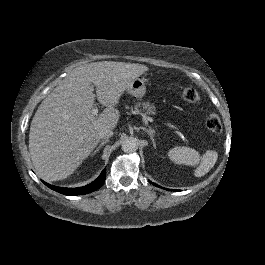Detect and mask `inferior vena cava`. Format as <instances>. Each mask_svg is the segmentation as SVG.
I'll return each mask as SVG.
<instances>
[{"instance_id": "602c4592", "label": "inferior vena cava", "mask_w": 265, "mask_h": 265, "mask_svg": "<svg viewBox=\"0 0 265 265\" xmlns=\"http://www.w3.org/2000/svg\"><path fill=\"white\" fill-rule=\"evenodd\" d=\"M98 135L99 138H107L113 135V131L109 127H104L100 129Z\"/></svg>"}]
</instances>
